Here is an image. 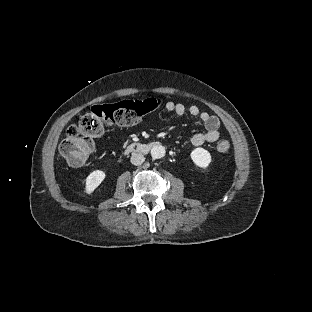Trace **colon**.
Here are the masks:
<instances>
[{
	"mask_svg": "<svg viewBox=\"0 0 312 312\" xmlns=\"http://www.w3.org/2000/svg\"><path fill=\"white\" fill-rule=\"evenodd\" d=\"M162 104V98H153L92 106L76 125L68 128L61 143V152L71 165L81 166L93 150V137L103 135L111 127L135 124ZM230 147V142L223 140L217 143L216 151L226 153Z\"/></svg>",
	"mask_w": 312,
	"mask_h": 312,
	"instance_id": "5ec220e1",
	"label": "colon"
}]
</instances>
